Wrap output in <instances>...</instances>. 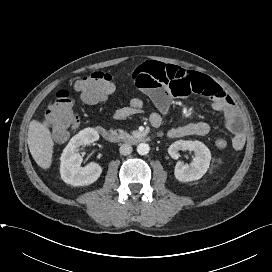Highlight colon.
<instances>
[{
	"label": "colon",
	"mask_w": 272,
	"mask_h": 272,
	"mask_svg": "<svg viewBox=\"0 0 272 272\" xmlns=\"http://www.w3.org/2000/svg\"><path fill=\"white\" fill-rule=\"evenodd\" d=\"M82 100L87 103H96L106 99L115 91V84L110 74L94 71L85 74L73 83ZM134 110L141 111L143 101L140 98H132L128 104ZM55 139H65L68 131L78 123V115L74 109L73 99L69 90H59L53 103L48 107L45 117ZM215 146L218 149H225L228 141L225 138H217Z\"/></svg>",
	"instance_id": "1"
}]
</instances>
